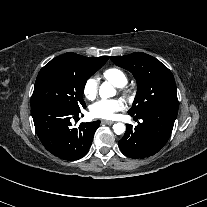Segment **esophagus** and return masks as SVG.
I'll use <instances>...</instances> for the list:
<instances>
[{
    "instance_id": "esophagus-1",
    "label": "esophagus",
    "mask_w": 207,
    "mask_h": 207,
    "mask_svg": "<svg viewBox=\"0 0 207 207\" xmlns=\"http://www.w3.org/2000/svg\"><path fill=\"white\" fill-rule=\"evenodd\" d=\"M102 123L107 124V125H112L115 122L114 121H110V120H103Z\"/></svg>"
}]
</instances>
